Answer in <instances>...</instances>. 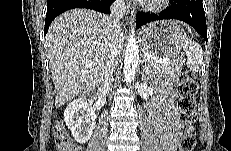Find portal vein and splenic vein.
<instances>
[{"mask_svg": "<svg viewBox=\"0 0 231 151\" xmlns=\"http://www.w3.org/2000/svg\"><path fill=\"white\" fill-rule=\"evenodd\" d=\"M145 57L148 59L155 60L158 63H170L171 62L170 57L159 58V57H156L150 54H145Z\"/></svg>", "mask_w": 231, "mask_h": 151, "instance_id": "obj_1", "label": "portal vein and splenic vein"}]
</instances>
